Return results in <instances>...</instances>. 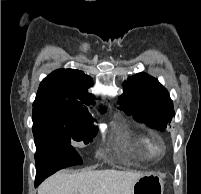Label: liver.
Instances as JSON below:
<instances>
[{
	"label": "liver",
	"instance_id": "obj_1",
	"mask_svg": "<svg viewBox=\"0 0 201 194\" xmlns=\"http://www.w3.org/2000/svg\"><path fill=\"white\" fill-rule=\"evenodd\" d=\"M143 175L114 169L62 170L46 179L38 194H131L134 183Z\"/></svg>",
	"mask_w": 201,
	"mask_h": 194
}]
</instances>
